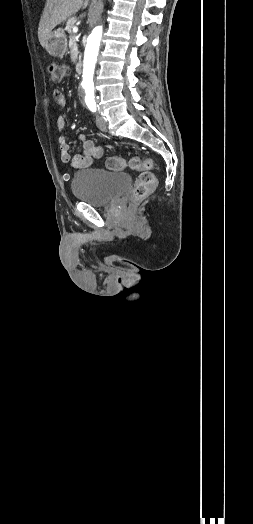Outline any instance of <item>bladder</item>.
Listing matches in <instances>:
<instances>
[{
    "instance_id": "1",
    "label": "bladder",
    "mask_w": 253,
    "mask_h": 524,
    "mask_svg": "<svg viewBox=\"0 0 253 524\" xmlns=\"http://www.w3.org/2000/svg\"><path fill=\"white\" fill-rule=\"evenodd\" d=\"M131 183L127 173L88 168L74 174L71 189L75 199L92 206H103L115 201Z\"/></svg>"
}]
</instances>
